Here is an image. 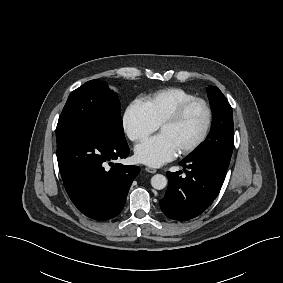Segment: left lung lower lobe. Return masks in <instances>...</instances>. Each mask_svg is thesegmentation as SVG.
<instances>
[{
  "instance_id": "left-lung-lower-lobe-1",
  "label": "left lung lower lobe",
  "mask_w": 283,
  "mask_h": 283,
  "mask_svg": "<svg viewBox=\"0 0 283 283\" xmlns=\"http://www.w3.org/2000/svg\"><path fill=\"white\" fill-rule=\"evenodd\" d=\"M179 164L185 168L186 176L182 177L181 171L167 172L169 187L159 203L168 218L185 221L200 215L212 204L229 164L213 157H188Z\"/></svg>"
}]
</instances>
